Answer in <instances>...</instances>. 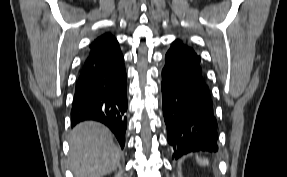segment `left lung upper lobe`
<instances>
[{"label":"left lung upper lobe","mask_w":287,"mask_h":177,"mask_svg":"<svg viewBox=\"0 0 287 177\" xmlns=\"http://www.w3.org/2000/svg\"><path fill=\"white\" fill-rule=\"evenodd\" d=\"M177 41H178V43H180L184 48H186L187 50L191 51V52L194 53L196 56H198L197 53H196L191 47H189V46H187V45H184V44L182 43V41H180V40H177ZM199 57H200V56H199Z\"/></svg>","instance_id":"5c2ea615"}]
</instances>
